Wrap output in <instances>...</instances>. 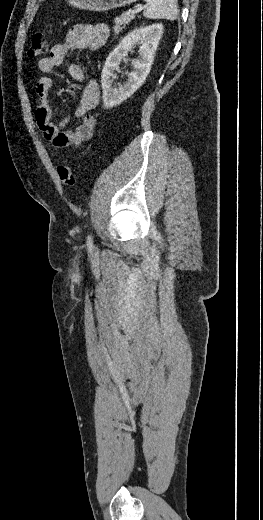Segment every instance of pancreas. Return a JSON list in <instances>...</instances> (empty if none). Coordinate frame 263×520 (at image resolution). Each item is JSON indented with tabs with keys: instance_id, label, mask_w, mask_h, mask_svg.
I'll list each match as a JSON object with an SVG mask.
<instances>
[{
	"instance_id": "cf45deb5",
	"label": "pancreas",
	"mask_w": 263,
	"mask_h": 520,
	"mask_svg": "<svg viewBox=\"0 0 263 520\" xmlns=\"http://www.w3.org/2000/svg\"><path fill=\"white\" fill-rule=\"evenodd\" d=\"M134 18H135V14L133 13V11L125 12L120 17H116L115 20H114V22H115V26H114L115 34H118Z\"/></svg>"
}]
</instances>
